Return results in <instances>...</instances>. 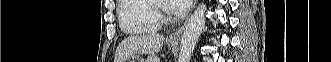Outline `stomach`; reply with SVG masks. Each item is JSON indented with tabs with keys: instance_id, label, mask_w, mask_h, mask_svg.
Wrapping results in <instances>:
<instances>
[{
	"instance_id": "obj_1",
	"label": "stomach",
	"mask_w": 331,
	"mask_h": 62,
	"mask_svg": "<svg viewBox=\"0 0 331 62\" xmlns=\"http://www.w3.org/2000/svg\"><path fill=\"white\" fill-rule=\"evenodd\" d=\"M176 43L174 42H168L169 46H175ZM125 62H145L143 58H141L138 55H132L130 56ZM147 62V61H146Z\"/></svg>"
}]
</instances>
